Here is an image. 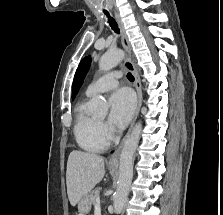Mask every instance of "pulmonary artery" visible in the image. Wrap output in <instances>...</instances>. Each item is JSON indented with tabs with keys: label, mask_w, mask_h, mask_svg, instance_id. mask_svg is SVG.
Masks as SVG:
<instances>
[{
	"label": "pulmonary artery",
	"mask_w": 223,
	"mask_h": 215,
	"mask_svg": "<svg viewBox=\"0 0 223 215\" xmlns=\"http://www.w3.org/2000/svg\"><path fill=\"white\" fill-rule=\"evenodd\" d=\"M122 74L119 71H112L102 77L94 80L86 89L87 96H93L98 93L114 89L119 84Z\"/></svg>",
	"instance_id": "1"
}]
</instances>
